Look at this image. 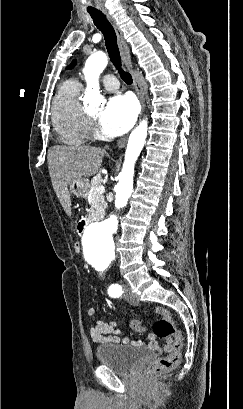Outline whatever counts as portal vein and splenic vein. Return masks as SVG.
I'll return each mask as SVG.
<instances>
[{"label": "portal vein and splenic vein", "mask_w": 243, "mask_h": 409, "mask_svg": "<svg viewBox=\"0 0 243 409\" xmlns=\"http://www.w3.org/2000/svg\"><path fill=\"white\" fill-rule=\"evenodd\" d=\"M96 192L103 194L105 192V187L103 185H99L96 187Z\"/></svg>", "instance_id": "obj_1"}]
</instances>
